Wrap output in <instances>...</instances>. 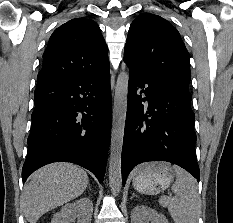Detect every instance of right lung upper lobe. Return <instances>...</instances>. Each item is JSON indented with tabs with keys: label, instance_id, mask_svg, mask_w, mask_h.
<instances>
[{
	"label": "right lung upper lobe",
	"instance_id": "cb5924a9",
	"mask_svg": "<svg viewBox=\"0 0 233 223\" xmlns=\"http://www.w3.org/2000/svg\"><path fill=\"white\" fill-rule=\"evenodd\" d=\"M108 67L107 45L97 23L75 18L51 35L37 86L90 75Z\"/></svg>",
	"mask_w": 233,
	"mask_h": 223
}]
</instances>
